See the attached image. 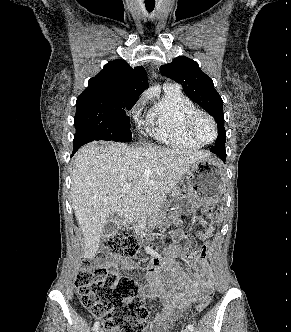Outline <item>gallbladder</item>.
<instances>
[{"mask_svg":"<svg viewBox=\"0 0 291 332\" xmlns=\"http://www.w3.org/2000/svg\"><path fill=\"white\" fill-rule=\"evenodd\" d=\"M118 229H119L118 220L115 217L110 216L104 224L102 237L109 238V237L115 235L117 233Z\"/></svg>","mask_w":291,"mask_h":332,"instance_id":"obj_1","label":"gallbladder"}]
</instances>
